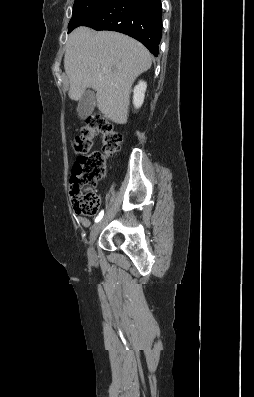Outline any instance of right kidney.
Masks as SVG:
<instances>
[{"label": "right kidney", "instance_id": "1", "mask_svg": "<svg viewBox=\"0 0 254 397\" xmlns=\"http://www.w3.org/2000/svg\"><path fill=\"white\" fill-rule=\"evenodd\" d=\"M147 84L144 81H139L138 85L134 87L133 104L136 108H140L145 98Z\"/></svg>", "mask_w": 254, "mask_h": 397}]
</instances>
